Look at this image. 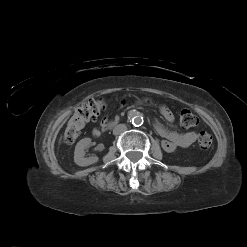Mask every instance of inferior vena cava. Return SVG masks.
<instances>
[{"mask_svg":"<svg viewBox=\"0 0 247 247\" xmlns=\"http://www.w3.org/2000/svg\"><path fill=\"white\" fill-rule=\"evenodd\" d=\"M126 129H127V127L125 124H119V125L114 127L113 134L119 135V134L123 133L124 131H126Z\"/></svg>","mask_w":247,"mask_h":247,"instance_id":"obj_1","label":"inferior vena cava"}]
</instances>
